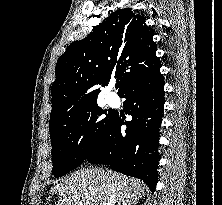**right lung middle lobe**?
<instances>
[{"label":"right lung middle lobe","instance_id":"obj_1","mask_svg":"<svg viewBox=\"0 0 222 205\" xmlns=\"http://www.w3.org/2000/svg\"><path fill=\"white\" fill-rule=\"evenodd\" d=\"M114 117L115 113L108 111L107 114V110H102L94 104L69 117L50 123L52 175L63 176L81 165ZM83 134L84 138L79 142Z\"/></svg>","mask_w":222,"mask_h":205}]
</instances>
